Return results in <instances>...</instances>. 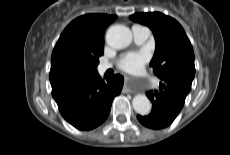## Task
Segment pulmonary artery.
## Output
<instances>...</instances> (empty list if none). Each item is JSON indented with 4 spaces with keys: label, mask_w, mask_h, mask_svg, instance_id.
Masks as SVG:
<instances>
[{
    "label": "pulmonary artery",
    "mask_w": 230,
    "mask_h": 155,
    "mask_svg": "<svg viewBox=\"0 0 230 155\" xmlns=\"http://www.w3.org/2000/svg\"><path fill=\"white\" fill-rule=\"evenodd\" d=\"M132 33L135 43L143 44L147 41L150 35V30L147 27L135 25L132 27ZM111 66L109 64H101L98 67L99 73L106 72Z\"/></svg>",
    "instance_id": "pulmonary-artery-1"
}]
</instances>
